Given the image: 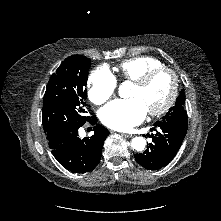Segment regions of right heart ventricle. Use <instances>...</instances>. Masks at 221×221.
<instances>
[{"label":"right heart ventricle","mask_w":221,"mask_h":221,"mask_svg":"<svg viewBox=\"0 0 221 221\" xmlns=\"http://www.w3.org/2000/svg\"><path fill=\"white\" fill-rule=\"evenodd\" d=\"M162 63L150 56H139L122 61L118 66L119 75L128 81H135L146 72L161 67Z\"/></svg>","instance_id":"1"}]
</instances>
